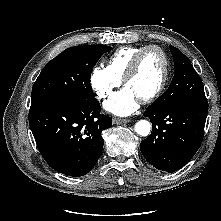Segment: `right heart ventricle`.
I'll return each mask as SVG.
<instances>
[{"label":"right heart ventricle","mask_w":221,"mask_h":221,"mask_svg":"<svg viewBox=\"0 0 221 221\" xmlns=\"http://www.w3.org/2000/svg\"><path fill=\"white\" fill-rule=\"evenodd\" d=\"M146 46H126L116 50L108 60L107 68L118 79H122L133 57Z\"/></svg>","instance_id":"obj_1"}]
</instances>
